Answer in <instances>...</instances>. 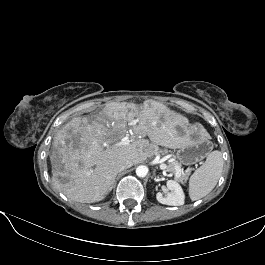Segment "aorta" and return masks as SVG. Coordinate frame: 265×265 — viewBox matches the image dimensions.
I'll use <instances>...</instances> for the list:
<instances>
[{
	"label": "aorta",
	"instance_id": "762f6f07",
	"mask_svg": "<svg viewBox=\"0 0 265 265\" xmlns=\"http://www.w3.org/2000/svg\"><path fill=\"white\" fill-rule=\"evenodd\" d=\"M136 174L138 177L144 178L148 174V167L145 165H140L136 168Z\"/></svg>",
	"mask_w": 265,
	"mask_h": 265
}]
</instances>
